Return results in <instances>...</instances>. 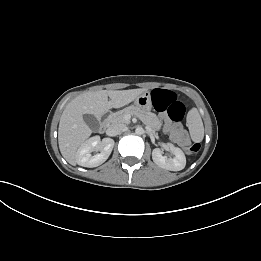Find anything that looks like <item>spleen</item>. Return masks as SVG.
I'll list each match as a JSON object with an SVG mask.
<instances>
[{
  "label": "spleen",
  "instance_id": "3e777b00",
  "mask_svg": "<svg viewBox=\"0 0 261 261\" xmlns=\"http://www.w3.org/2000/svg\"><path fill=\"white\" fill-rule=\"evenodd\" d=\"M191 125V138L194 142H201L204 137V127L201 117L197 110L191 111L189 114Z\"/></svg>",
  "mask_w": 261,
  "mask_h": 261
}]
</instances>
